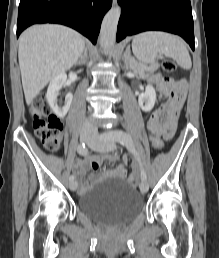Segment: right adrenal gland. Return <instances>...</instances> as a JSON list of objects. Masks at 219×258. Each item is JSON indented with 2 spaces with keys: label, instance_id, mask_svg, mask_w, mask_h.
I'll return each instance as SVG.
<instances>
[{
  "label": "right adrenal gland",
  "instance_id": "2a0ac1e0",
  "mask_svg": "<svg viewBox=\"0 0 219 258\" xmlns=\"http://www.w3.org/2000/svg\"><path fill=\"white\" fill-rule=\"evenodd\" d=\"M87 60V49L84 48L83 55L80 57L79 60L76 61L75 65H83L86 63Z\"/></svg>",
  "mask_w": 219,
  "mask_h": 258
}]
</instances>
